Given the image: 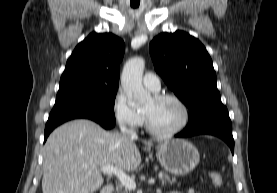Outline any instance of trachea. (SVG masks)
I'll return each mask as SVG.
<instances>
[{
    "instance_id": "3493384b",
    "label": "trachea",
    "mask_w": 277,
    "mask_h": 193,
    "mask_svg": "<svg viewBox=\"0 0 277 193\" xmlns=\"http://www.w3.org/2000/svg\"><path fill=\"white\" fill-rule=\"evenodd\" d=\"M133 8H136L137 6L136 5H132Z\"/></svg>"
}]
</instances>
